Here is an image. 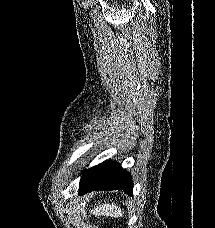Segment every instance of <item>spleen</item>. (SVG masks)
<instances>
[{"mask_svg": "<svg viewBox=\"0 0 215 228\" xmlns=\"http://www.w3.org/2000/svg\"><path fill=\"white\" fill-rule=\"evenodd\" d=\"M91 214L93 216H110V218H121L122 210L119 206H110V204H102V206H96L94 210H92Z\"/></svg>", "mask_w": 215, "mask_h": 228, "instance_id": "1", "label": "spleen"}]
</instances>
